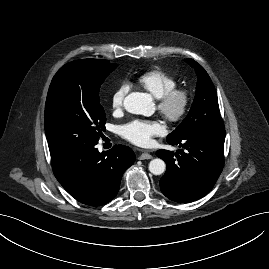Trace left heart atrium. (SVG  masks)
I'll return each mask as SVG.
<instances>
[{"instance_id":"1","label":"left heart atrium","mask_w":269,"mask_h":269,"mask_svg":"<svg viewBox=\"0 0 269 269\" xmlns=\"http://www.w3.org/2000/svg\"><path fill=\"white\" fill-rule=\"evenodd\" d=\"M162 125L155 120L134 119L119 128L123 138L136 145H147L155 135L161 134Z\"/></svg>"}]
</instances>
